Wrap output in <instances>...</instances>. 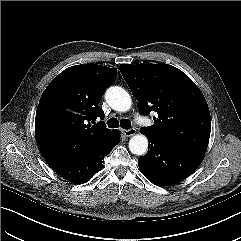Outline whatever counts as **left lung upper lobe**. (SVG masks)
Here are the masks:
<instances>
[{
    "label": "left lung upper lobe",
    "instance_id": "obj_1",
    "mask_svg": "<svg viewBox=\"0 0 241 241\" xmlns=\"http://www.w3.org/2000/svg\"><path fill=\"white\" fill-rule=\"evenodd\" d=\"M138 110L157 112L154 125L140 132L178 147L205 153L211 131L207 102L194 82L167 64L120 65Z\"/></svg>",
    "mask_w": 241,
    "mask_h": 241
}]
</instances>
